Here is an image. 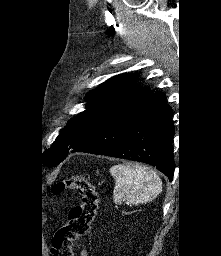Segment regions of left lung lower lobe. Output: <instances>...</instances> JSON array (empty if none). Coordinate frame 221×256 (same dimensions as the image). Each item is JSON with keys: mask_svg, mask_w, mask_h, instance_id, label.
Returning <instances> with one entry per match:
<instances>
[{"mask_svg": "<svg viewBox=\"0 0 221 256\" xmlns=\"http://www.w3.org/2000/svg\"><path fill=\"white\" fill-rule=\"evenodd\" d=\"M174 134L172 109L166 105L165 95L156 92L129 113L110 121L73 152L147 163L172 180Z\"/></svg>", "mask_w": 221, "mask_h": 256, "instance_id": "obj_1", "label": "left lung lower lobe"}]
</instances>
